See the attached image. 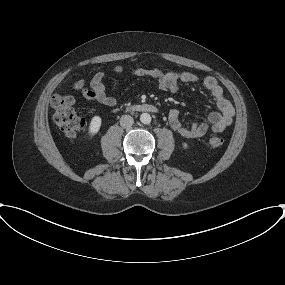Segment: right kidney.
Segmentation results:
<instances>
[{
  "label": "right kidney",
  "instance_id": "1",
  "mask_svg": "<svg viewBox=\"0 0 285 285\" xmlns=\"http://www.w3.org/2000/svg\"><path fill=\"white\" fill-rule=\"evenodd\" d=\"M101 123H102V120L100 116H94L91 119V122L88 128L89 138H92L94 135H96L99 132Z\"/></svg>",
  "mask_w": 285,
  "mask_h": 285
}]
</instances>
